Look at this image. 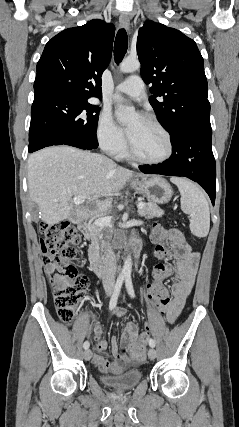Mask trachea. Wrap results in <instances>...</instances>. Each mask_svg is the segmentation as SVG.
Here are the masks:
<instances>
[{"label":"trachea","instance_id":"1","mask_svg":"<svg viewBox=\"0 0 239 427\" xmlns=\"http://www.w3.org/2000/svg\"><path fill=\"white\" fill-rule=\"evenodd\" d=\"M128 46V38L125 29H120L114 43V59L119 64L124 58Z\"/></svg>","mask_w":239,"mask_h":427}]
</instances>
